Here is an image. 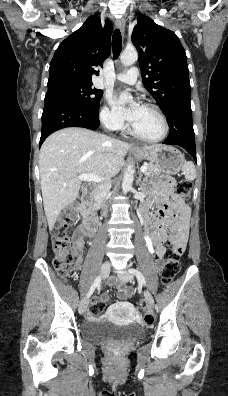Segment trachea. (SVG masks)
I'll list each match as a JSON object with an SVG mask.
<instances>
[{"label": "trachea", "mask_w": 228, "mask_h": 396, "mask_svg": "<svg viewBox=\"0 0 228 396\" xmlns=\"http://www.w3.org/2000/svg\"><path fill=\"white\" fill-rule=\"evenodd\" d=\"M112 48L114 59H117L122 49V37L119 29H116L113 33Z\"/></svg>", "instance_id": "1"}]
</instances>
